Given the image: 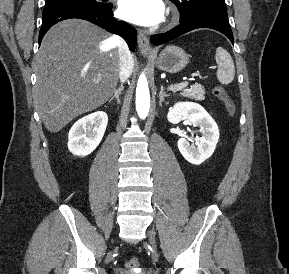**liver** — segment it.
<instances>
[{
  "mask_svg": "<svg viewBox=\"0 0 289 274\" xmlns=\"http://www.w3.org/2000/svg\"><path fill=\"white\" fill-rule=\"evenodd\" d=\"M34 102L48 131L102 106L119 79L118 45L103 29L83 20L54 25L35 58Z\"/></svg>",
  "mask_w": 289,
  "mask_h": 274,
  "instance_id": "6515ba94",
  "label": "liver"
}]
</instances>
